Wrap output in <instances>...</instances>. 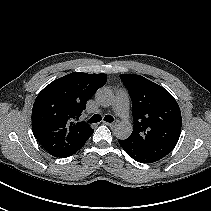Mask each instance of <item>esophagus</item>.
<instances>
[{"mask_svg":"<svg viewBox=\"0 0 211 211\" xmlns=\"http://www.w3.org/2000/svg\"><path fill=\"white\" fill-rule=\"evenodd\" d=\"M104 124L109 126V127H115L117 125L116 122H113V123L104 122Z\"/></svg>","mask_w":211,"mask_h":211,"instance_id":"1","label":"esophagus"}]
</instances>
